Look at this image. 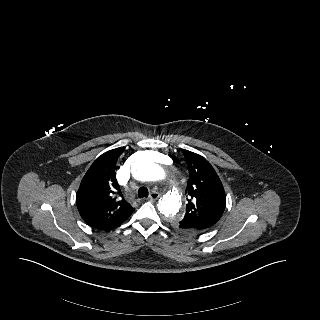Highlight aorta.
Returning <instances> with one entry per match:
<instances>
[{
	"label": "aorta",
	"instance_id": "aorta-1",
	"mask_svg": "<svg viewBox=\"0 0 320 320\" xmlns=\"http://www.w3.org/2000/svg\"><path fill=\"white\" fill-rule=\"evenodd\" d=\"M159 153L148 151L147 155L137 160L132 166V174L139 181H158L166 177L165 170L157 163ZM181 197L178 192L172 191L164 195L159 203L158 210L167 219H180L178 214L181 208Z\"/></svg>",
	"mask_w": 320,
	"mask_h": 320
}]
</instances>
